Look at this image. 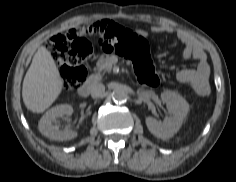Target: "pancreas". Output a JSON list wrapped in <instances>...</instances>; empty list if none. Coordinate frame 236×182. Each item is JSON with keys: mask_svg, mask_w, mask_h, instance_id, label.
<instances>
[{"mask_svg": "<svg viewBox=\"0 0 236 182\" xmlns=\"http://www.w3.org/2000/svg\"><path fill=\"white\" fill-rule=\"evenodd\" d=\"M112 62L110 61V58L108 56L100 57L97 61V67L99 70H107L110 71L112 69ZM93 78L95 76H92Z\"/></svg>", "mask_w": 236, "mask_h": 182, "instance_id": "cf45deb5", "label": "pancreas"}]
</instances>
